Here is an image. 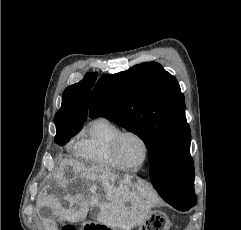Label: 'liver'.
<instances>
[{"mask_svg": "<svg viewBox=\"0 0 241 230\" xmlns=\"http://www.w3.org/2000/svg\"><path fill=\"white\" fill-rule=\"evenodd\" d=\"M68 165L70 169L66 170V177L59 178L60 186L66 192L71 191L79 178L84 179L86 186L82 185L80 194L66 197L69 201L68 208L54 195L44 192L36 200L37 210L47 206L56 217L76 222L84 219L90 208L97 207L99 223L125 230H131L145 221L153 201V196L146 187L132 184L128 176H124L123 180L118 182V186H115L119 176L108 168L86 167L77 161H70ZM45 228L57 230L55 223L51 221L45 223Z\"/></svg>", "mask_w": 241, "mask_h": 230, "instance_id": "6515ba94", "label": "liver"}]
</instances>
